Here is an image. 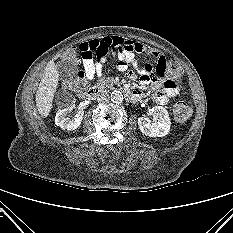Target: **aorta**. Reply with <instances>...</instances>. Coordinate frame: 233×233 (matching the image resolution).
I'll return each mask as SVG.
<instances>
[{"label": "aorta", "instance_id": "1", "mask_svg": "<svg viewBox=\"0 0 233 233\" xmlns=\"http://www.w3.org/2000/svg\"><path fill=\"white\" fill-rule=\"evenodd\" d=\"M111 101L113 103H117V104L122 103V101H123V94H122V92L117 91V90L113 91L111 93Z\"/></svg>", "mask_w": 233, "mask_h": 233}]
</instances>
